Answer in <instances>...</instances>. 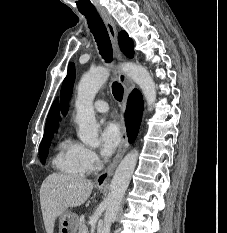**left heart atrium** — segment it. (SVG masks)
Listing matches in <instances>:
<instances>
[{
	"instance_id": "1",
	"label": "left heart atrium",
	"mask_w": 227,
	"mask_h": 233,
	"mask_svg": "<svg viewBox=\"0 0 227 233\" xmlns=\"http://www.w3.org/2000/svg\"><path fill=\"white\" fill-rule=\"evenodd\" d=\"M100 140L101 154L104 157L110 156L120 145L122 140L119 125L114 121L107 122L101 130Z\"/></svg>"
}]
</instances>
